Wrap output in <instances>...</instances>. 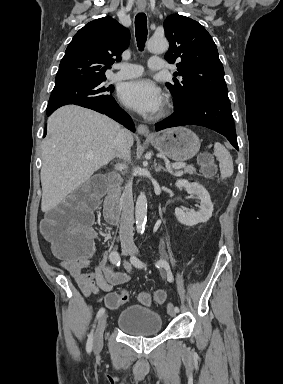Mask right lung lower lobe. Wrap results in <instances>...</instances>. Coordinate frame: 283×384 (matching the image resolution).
I'll list each match as a JSON object with an SVG mask.
<instances>
[{"mask_svg": "<svg viewBox=\"0 0 283 384\" xmlns=\"http://www.w3.org/2000/svg\"><path fill=\"white\" fill-rule=\"evenodd\" d=\"M82 107H86L102 114H105L117 122L123 124L131 131H135L134 124L130 116L116 103L114 98L103 101H93L76 104ZM57 108L47 107V115L50 116ZM46 134V129H45Z\"/></svg>", "mask_w": 283, "mask_h": 384, "instance_id": "98d812e1", "label": "right lung lower lobe"}]
</instances>
